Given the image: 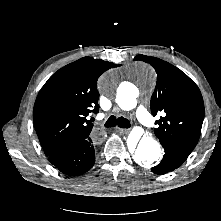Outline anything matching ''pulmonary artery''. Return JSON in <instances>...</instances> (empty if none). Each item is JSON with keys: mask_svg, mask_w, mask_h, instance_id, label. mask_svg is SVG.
Returning <instances> with one entry per match:
<instances>
[{"mask_svg": "<svg viewBox=\"0 0 221 221\" xmlns=\"http://www.w3.org/2000/svg\"><path fill=\"white\" fill-rule=\"evenodd\" d=\"M135 115L141 124L148 128H153L155 126L154 118L146 111L143 106H136L134 108Z\"/></svg>", "mask_w": 221, "mask_h": 221, "instance_id": "pulmonary-artery-1", "label": "pulmonary artery"}]
</instances>
